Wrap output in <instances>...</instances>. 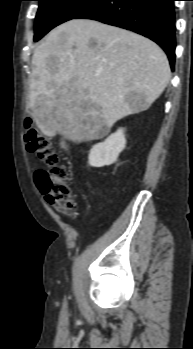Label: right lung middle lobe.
Instances as JSON below:
<instances>
[{"mask_svg": "<svg viewBox=\"0 0 193 349\" xmlns=\"http://www.w3.org/2000/svg\"><path fill=\"white\" fill-rule=\"evenodd\" d=\"M34 41L41 39L55 26L74 19L97 0H37Z\"/></svg>", "mask_w": 193, "mask_h": 349, "instance_id": "obj_1", "label": "right lung middle lobe"}]
</instances>
